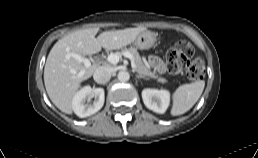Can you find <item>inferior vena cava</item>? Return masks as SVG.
<instances>
[{
	"instance_id": "1",
	"label": "inferior vena cava",
	"mask_w": 258,
	"mask_h": 158,
	"mask_svg": "<svg viewBox=\"0 0 258 158\" xmlns=\"http://www.w3.org/2000/svg\"><path fill=\"white\" fill-rule=\"evenodd\" d=\"M112 75V71L109 67L100 66L98 67L93 75L94 80L99 84L107 83Z\"/></svg>"
}]
</instances>
